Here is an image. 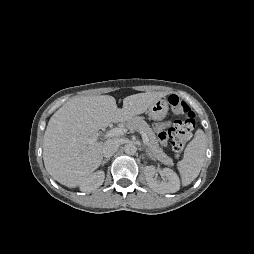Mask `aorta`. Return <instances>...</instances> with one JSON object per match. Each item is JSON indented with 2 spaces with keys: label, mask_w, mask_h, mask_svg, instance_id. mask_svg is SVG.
Listing matches in <instances>:
<instances>
[{
  "label": "aorta",
  "mask_w": 254,
  "mask_h": 254,
  "mask_svg": "<svg viewBox=\"0 0 254 254\" xmlns=\"http://www.w3.org/2000/svg\"><path fill=\"white\" fill-rule=\"evenodd\" d=\"M136 151H137V148L133 144H127L125 146V153L128 155H134L136 153Z\"/></svg>",
  "instance_id": "1"
}]
</instances>
